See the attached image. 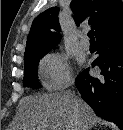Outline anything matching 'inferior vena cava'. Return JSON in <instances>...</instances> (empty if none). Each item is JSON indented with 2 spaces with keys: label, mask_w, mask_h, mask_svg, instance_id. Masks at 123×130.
I'll return each mask as SVG.
<instances>
[{
  "label": "inferior vena cava",
  "mask_w": 123,
  "mask_h": 130,
  "mask_svg": "<svg viewBox=\"0 0 123 130\" xmlns=\"http://www.w3.org/2000/svg\"><path fill=\"white\" fill-rule=\"evenodd\" d=\"M78 124H79V121H78V114L75 113V116H74V123H73L74 128H72V130H79Z\"/></svg>",
  "instance_id": "602c4592"
}]
</instances>
